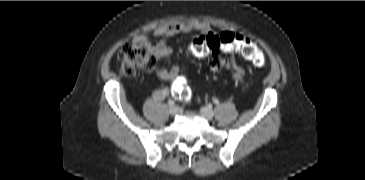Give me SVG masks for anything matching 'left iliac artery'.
<instances>
[{
  "label": "left iliac artery",
  "instance_id": "left-iliac-artery-1",
  "mask_svg": "<svg viewBox=\"0 0 365 180\" xmlns=\"http://www.w3.org/2000/svg\"><path fill=\"white\" fill-rule=\"evenodd\" d=\"M213 102H214L215 104H219V100H218L217 98L213 99Z\"/></svg>",
  "mask_w": 365,
  "mask_h": 180
}]
</instances>
